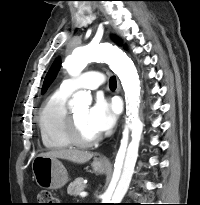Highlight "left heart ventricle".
Returning <instances> with one entry per match:
<instances>
[{"mask_svg": "<svg viewBox=\"0 0 200 205\" xmlns=\"http://www.w3.org/2000/svg\"><path fill=\"white\" fill-rule=\"evenodd\" d=\"M88 112L89 109L86 107L78 108L72 112L77 122L79 133L85 139H91L98 135V133L91 127L88 122Z\"/></svg>", "mask_w": 200, "mask_h": 205, "instance_id": "1", "label": "left heart ventricle"}]
</instances>
